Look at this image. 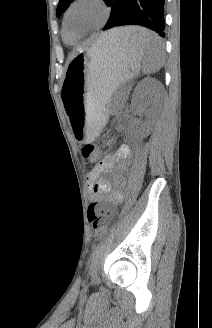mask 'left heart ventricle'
Listing matches in <instances>:
<instances>
[{
  "label": "left heart ventricle",
  "instance_id": "obj_1",
  "mask_svg": "<svg viewBox=\"0 0 212 328\" xmlns=\"http://www.w3.org/2000/svg\"><path fill=\"white\" fill-rule=\"evenodd\" d=\"M103 18V11L92 3H83L76 6L70 13L69 32L72 34L82 33L96 26Z\"/></svg>",
  "mask_w": 212,
  "mask_h": 328
}]
</instances>
